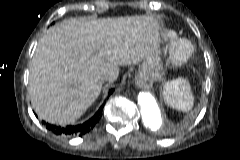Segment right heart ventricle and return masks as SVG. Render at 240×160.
<instances>
[{"label":"right heart ventricle","instance_id":"1","mask_svg":"<svg viewBox=\"0 0 240 160\" xmlns=\"http://www.w3.org/2000/svg\"><path fill=\"white\" fill-rule=\"evenodd\" d=\"M176 36V34L173 31H166L165 32V39H172Z\"/></svg>","mask_w":240,"mask_h":160}]
</instances>
